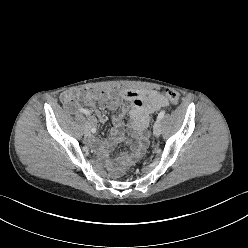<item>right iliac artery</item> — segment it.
<instances>
[{
  "label": "right iliac artery",
  "instance_id": "82829eb1",
  "mask_svg": "<svg viewBox=\"0 0 248 248\" xmlns=\"http://www.w3.org/2000/svg\"><path fill=\"white\" fill-rule=\"evenodd\" d=\"M80 112L89 115V112H87V111L84 110V109H80ZM91 131H92V132H95V129H92Z\"/></svg>",
  "mask_w": 248,
  "mask_h": 248
}]
</instances>
